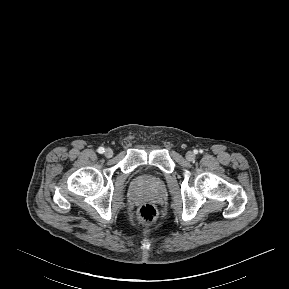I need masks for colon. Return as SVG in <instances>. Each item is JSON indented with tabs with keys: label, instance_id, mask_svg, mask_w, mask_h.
<instances>
[{
	"label": "colon",
	"instance_id": "colon-1",
	"mask_svg": "<svg viewBox=\"0 0 289 289\" xmlns=\"http://www.w3.org/2000/svg\"><path fill=\"white\" fill-rule=\"evenodd\" d=\"M157 217V211L151 204H144L138 210V219L141 223H152Z\"/></svg>",
	"mask_w": 289,
	"mask_h": 289
}]
</instances>
